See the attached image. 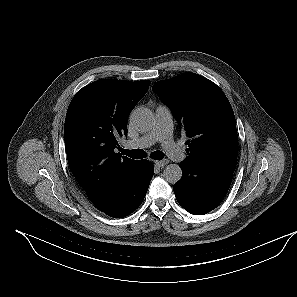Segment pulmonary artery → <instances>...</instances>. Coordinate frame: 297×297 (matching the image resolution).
Returning <instances> with one entry per match:
<instances>
[{"mask_svg":"<svg viewBox=\"0 0 297 297\" xmlns=\"http://www.w3.org/2000/svg\"><path fill=\"white\" fill-rule=\"evenodd\" d=\"M173 117L165 105H158L155 110V121L149 133L133 140L124 142V146L131 148H144L156 142L162 143L166 152L175 160L181 161L185 155L173 140Z\"/></svg>","mask_w":297,"mask_h":297,"instance_id":"1","label":"pulmonary artery"}]
</instances>
